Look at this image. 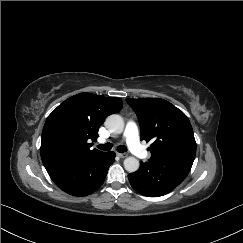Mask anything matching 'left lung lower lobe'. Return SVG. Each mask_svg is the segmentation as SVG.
Here are the masks:
<instances>
[{"label": "left lung lower lobe", "mask_w": 243, "mask_h": 243, "mask_svg": "<svg viewBox=\"0 0 243 243\" xmlns=\"http://www.w3.org/2000/svg\"><path fill=\"white\" fill-rule=\"evenodd\" d=\"M195 156H171L155 161L140 162L138 171L128 175L131 186L147 197L171 192L188 175Z\"/></svg>", "instance_id": "obj_1"}]
</instances>
